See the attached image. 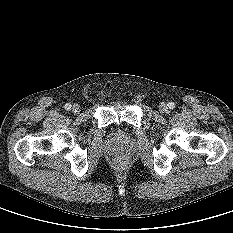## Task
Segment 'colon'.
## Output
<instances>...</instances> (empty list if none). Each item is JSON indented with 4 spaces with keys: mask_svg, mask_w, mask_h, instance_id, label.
<instances>
[{
    "mask_svg": "<svg viewBox=\"0 0 233 233\" xmlns=\"http://www.w3.org/2000/svg\"><path fill=\"white\" fill-rule=\"evenodd\" d=\"M116 163L118 166L121 167V166H124L126 164V160H125V158H119V159H117Z\"/></svg>",
    "mask_w": 233,
    "mask_h": 233,
    "instance_id": "colon-1",
    "label": "colon"
}]
</instances>
